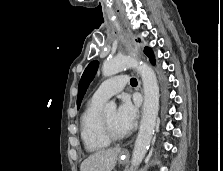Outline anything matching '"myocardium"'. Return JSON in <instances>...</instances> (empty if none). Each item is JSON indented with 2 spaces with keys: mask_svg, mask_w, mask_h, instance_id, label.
<instances>
[{
  "mask_svg": "<svg viewBox=\"0 0 223 171\" xmlns=\"http://www.w3.org/2000/svg\"><path fill=\"white\" fill-rule=\"evenodd\" d=\"M100 127H101L103 136L110 142L119 141L126 137L125 134L116 135L111 131V129L109 128L107 121L104 117V114H101V117H100Z\"/></svg>",
  "mask_w": 223,
  "mask_h": 171,
  "instance_id": "myocardium-1",
  "label": "myocardium"
}]
</instances>
